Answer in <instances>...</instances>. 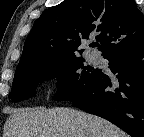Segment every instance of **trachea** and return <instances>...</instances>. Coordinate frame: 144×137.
Wrapping results in <instances>:
<instances>
[{
  "mask_svg": "<svg viewBox=\"0 0 144 137\" xmlns=\"http://www.w3.org/2000/svg\"><path fill=\"white\" fill-rule=\"evenodd\" d=\"M98 45H99L98 43H95V44H94V46H98Z\"/></svg>",
  "mask_w": 144,
  "mask_h": 137,
  "instance_id": "1",
  "label": "trachea"
}]
</instances>
